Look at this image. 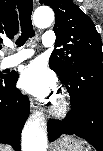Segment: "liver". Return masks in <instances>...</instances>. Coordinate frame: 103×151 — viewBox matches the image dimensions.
<instances>
[{"instance_id":"1","label":"liver","mask_w":103,"mask_h":151,"mask_svg":"<svg viewBox=\"0 0 103 151\" xmlns=\"http://www.w3.org/2000/svg\"><path fill=\"white\" fill-rule=\"evenodd\" d=\"M1 151H12L9 146H5L1 148Z\"/></svg>"}]
</instances>
